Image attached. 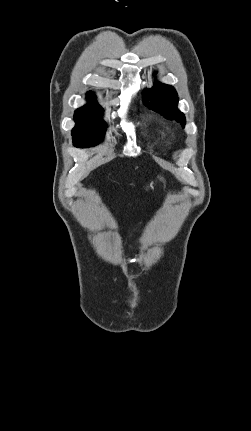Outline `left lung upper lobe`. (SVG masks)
I'll list each match as a JSON object with an SVG mask.
<instances>
[{
    "mask_svg": "<svg viewBox=\"0 0 251 431\" xmlns=\"http://www.w3.org/2000/svg\"><path fill=\"white\" fill-rule=\"evenodd\" d=\"M143 97L147 107L185 126L186 120L184 114L177 108L178 97L172 86L156 83L153 88L144 91Z\"/></svg>",
    "mask_w": 251,
    "mask_h": 431,
    "instance_id": "obj_1",
    "label": "left lung upper lobe"
}]
</instances>
